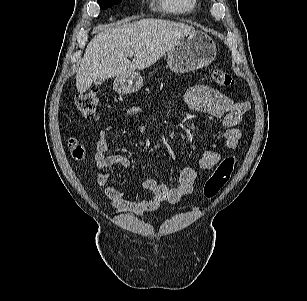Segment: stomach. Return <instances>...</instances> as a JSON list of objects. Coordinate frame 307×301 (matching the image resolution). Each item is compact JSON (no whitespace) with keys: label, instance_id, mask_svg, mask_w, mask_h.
Masks as SVG:
<instances>
[{"label":"stomach","instance_id":"obj_1","mask_svg":"<svg viewBox=\"0 0 307 301\" xmlns=\"http://www.w3.org/2000/svg\"><path fill=\"white\" fill-rule=\"evenodd\" d=\"M216 56V45L204 32L191 31L183 35L168 51L167 64L175 73H186L210 65ZM143 86L140 73L132 72L114 80L113 88L119 94H130Z\"/></svg>","mask_w":307,"mask_h":301}]
</instances>
